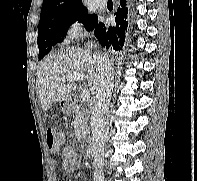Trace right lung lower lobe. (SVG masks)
Segmentation results:
<instances>
[{"label":"right lung lower lobe","mask_w":197,"mask_h":181,"mask_svg":"<svg viewBox=\"0 0 197 181\" xmlns=\"http://www.w3.org/2000/svg\"><path fill=\"white\" fill-rule=\"evenodd\" d=\"M130 2V0H120V6L115 13L116 24L114 26L108 27L98 22L94 27V34L103 47H111L116 51L123 47L130 19Z\"/></svg>","instance_id":"right-lung-lower-lobe-1"}]
</instances>
